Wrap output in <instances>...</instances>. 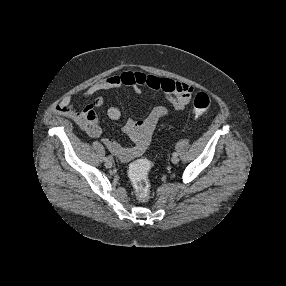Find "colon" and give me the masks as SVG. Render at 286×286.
Here are the masks:
<instances>
[{
	"mask_svg": "<svg viewBox=\"0 0 286 286\" xmlns=\"http://www.w3.org/2000/svg\"><path fill=\"white\" fill-rule=\"evenodd\" d=\"M211 107V101L206 93H199L196 95L193 102V113L196 116L206 114ZM151 163L149 160L142 158L132 164L129 169V177L134 186L137 198L145 202L150 197V182L148 172Z\"/></svg>",
	"mask_w": 286,
	"mask_h": 286,
	"instance_id": "5ec220e1",
	"label": "colon"
}]
</instances>
